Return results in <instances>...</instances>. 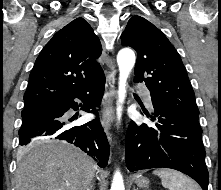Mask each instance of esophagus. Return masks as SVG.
<instances>
[{
	"label": "esophagus",
	"mask_w": 221,
	"mask_h": 190,
	"mask_svg": "<svg viewBox=\"0 0 221 190\" xmlns=\"http://www.w3.org/2000/svg\"><path fill=\"white\" fill-rule=\"evenodd\" d=\"M115 83H116V66L113 62H111L109 68L106 71L105 95H104L102 117H101V123L108 136L109 141L112 140L109 130L114 120L113 101L116 93Z\"/></svg>",
	"instance_id": "obj_1"
}]
</instances>
